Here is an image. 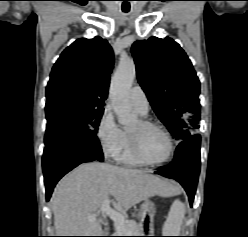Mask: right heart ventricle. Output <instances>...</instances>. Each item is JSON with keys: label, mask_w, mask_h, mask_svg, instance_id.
Here are the masks:
<instances>
[{"label": "right heart ventricle", "mask_w": 248, "mask_h": 237, "mask_svg": "<svg viewBox=\"0 0 248 237\" xmlns=\"http://www.w3.org/2000/svg\"><path fill=\"white\" fill-rule=\"evenodd\" d=\"M123 145L120 153L117 155L116 160L122 164L136 166L142 165L140 161H138L132 154L129 139H128V132H123Z\"/></svg>", "instance_id": "right-heart-ventricle-1"}]
</instances>
